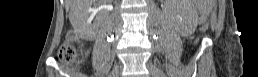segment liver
Listing matches in <instances>:
<instances>
[{"label": "liver", "instance_id": "obj_1", "mask_svg": "<svg viewBox=\"0 0 258 77\" xmlns=\"http://www.w3.org/2000/svg\"><path fill=\"white\" fill-rule=\"evenodd\" d=\"M92 2L93 0H66V8L70 9L69 19L72 24L74 22L73 9H77L79 11L80 8L84 9L90 6Z\"/></svg>", "mask_w": 258, "mask_h": 77}]
</instances>
